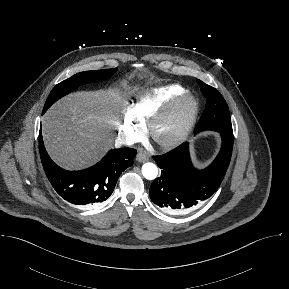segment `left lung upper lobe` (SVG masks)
<instances>
[{
	"mask_svg": "<svg viewBox=\"0 0 289 289\" xmlns=\"http://www.w3.org/2000/svg\"><path fill=\"white\" fill-rule=\"evenodd\" d=\"M203 95L207 98L206 109L196 127L195 132L214 130L218 132L231 131L232 124L227 103L218 90L197 80Z\"/></svg>",
	"mask_w": 289,
	"mask_h": 289,
	"instance_id": "left-lung-upper-lobe-1",
	"label": "left lung upper lobe"
}]
</instances>
